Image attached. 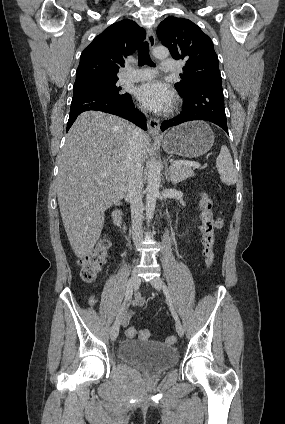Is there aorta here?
Segmentation results:
<instances>
[{
    "label": "aorta",
    "instance_id": "1",
    "mask_svg": "<svg viewBox=\"0 0 285 424\" xmlns=\"http://www.w3.org/2000/svg\"><path fill=\"white\" fill-rule=\"evenodd\" d=\"M153 56L158 59H165L169 56V50L164 46H158L153 49ZM161 183V167L157 160H153L149 165L148 179L146 187V218L151 220L154 215L156 199L159 194Z\"/></svg>",
    "mask_w": 285,
    "mask_h": 424
}]
</instances>
